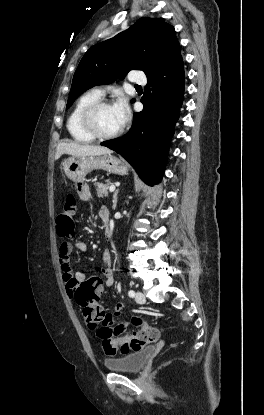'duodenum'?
<instances>
[{
    "mask_svg": "<svg viewBox=\"0 0 264 415\" xmlns=\"http://www.w3.org/2000/svg\"><path fill=\"white\" fill-rule=\"evenodd\" d=\"M109 221H107V223H108ZM106 239L108 240V241H111V239H112V232H111V229L108 227L107 228V230H106Z\"/></svg>",
    "mask_w": 264,
    "mask_h": 415,
    "instance_id": "1",
    "label": "duodenum"
}]
</instances>
